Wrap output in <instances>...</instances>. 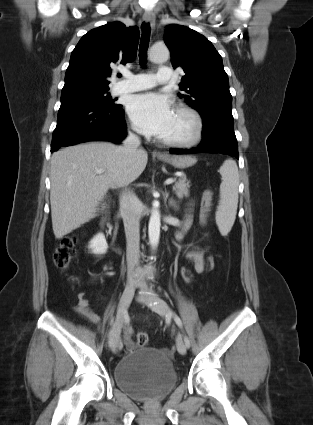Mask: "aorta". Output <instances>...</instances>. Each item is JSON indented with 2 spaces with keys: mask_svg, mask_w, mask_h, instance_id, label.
Instances as JSON below:
<instances>
[{
  "mask_svg": "<svg viewBox=\"0 0 313 425\" xmlns=\"http://www.w3.org/2000/svg\"><path fill=\"white\" fill-rule=\"evenodd\" d=\"M169 57L170 52L166 46H153L150 50V60L153 62H165ZM160 225L158 206H154L148 225L149 243L153 249H155L159 243Z\"/></svg>",
  "mask_w": 313,
  "mask_h": 425,
  "instance_id": "1",
  "label": "aorta"
}]
</instances>
